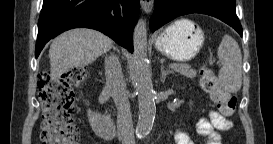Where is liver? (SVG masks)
<instances>
[{"label":"liver","mask_w":273,"mask_h":144,"mask_svg":"<svg viewBox=\"0 0 273 144\" xmlns=\"http://www.w3.org/2000/svg\"><path fill=\"white\" fill-rule=\"evenodd\" d=\"M113 47L103 33L86 28L72 29L55 38L50 46V76L53 82L72 68L94 62Z\"/></svg>","instance_id":"1"}]
</instances>
